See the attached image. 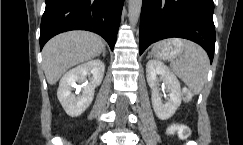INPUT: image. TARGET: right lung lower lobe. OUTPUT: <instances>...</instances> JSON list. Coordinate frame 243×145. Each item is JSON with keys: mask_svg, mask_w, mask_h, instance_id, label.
Wrapping results in <instances>:
<instances>
[{"mask_svg": "<svg viewBox=\"0 0 243 145\" xmlns=\"http://www.w3.org/2000/svg\"><path fill=\"white\" fill-rule=\"evenodd\" d=\"M124 0H46L40 49L53 36L75 29L101 35L113 50Z\"/></svg>", "mask_w": 243, "mask_h": 145, "instance_id": "98d812e1", "label": "right lung lower lobe"}]
</instances>
